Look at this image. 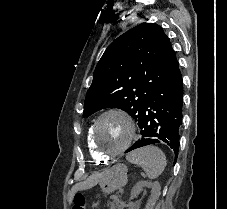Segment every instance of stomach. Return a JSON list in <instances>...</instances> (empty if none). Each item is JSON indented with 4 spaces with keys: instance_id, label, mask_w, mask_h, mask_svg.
<instances>
[{
    "instance_id": "obj_1",
    "label": "stomach",
    "mask_w": 227,
    "mask_h": 209,
    "mask_svg": "<svg viewBox=\"0 0 227 209\" xmlns=\"http://www.w3.org/2000/svg\"><path fill=\"white\" fill-rule=\"evenodd\" d=\"M127 168L123 164H117L104 171L101 175L100 186L103 192L110 194L127 184Z\"/></svg>"
}]
</instances>
